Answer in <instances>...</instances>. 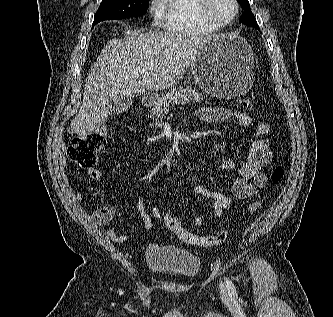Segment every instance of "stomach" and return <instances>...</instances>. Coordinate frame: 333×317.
<instances>
[{"mask_svg":"<svg viewBox=\"0 0 333 317\" xmlns=\"http://www.w3.org/2000/svg\"><path fill=\"white\" fill-rule=\"evenodd\" d=\"M254 68L251 46L244 38L232 34L208 39L191 61L195 82L207 94L221 99L245 94L253 84ZM155 100L149 98L146 103L153 105Z\"/></svg>","mask_w":333,"mask_h":317,"instance_id":"stomach-1","label":"stomach"}]
</instances>
